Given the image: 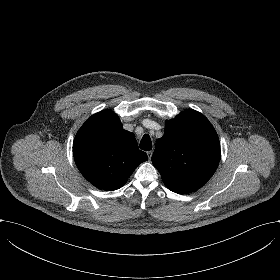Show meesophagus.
Masks as SVG:
<instances>
[{
    "label": "esophagus",
    "instance_id": "esophagus-1",
    "mask_svg": "<svg viewBox=\"0 0 280 280\" xmlns=\"http://www.w3.org/2000/svg\"><path fill=\"white\" fill-rule=\"evenodd\" d=\"M152 154H153V151H147V156H148V159L150 160L151 157H152Z\"/></svg>",
    "mask_w": 280,
    "mask_h": 280
}]
</instances>
